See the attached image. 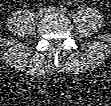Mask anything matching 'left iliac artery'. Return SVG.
Segmentation results:
<instances>
[{"mask_svg":"<svg viewBox=\"0 0 111 106\" xmlns=\"http://www.w3.org/2000/svg\"><path fill=\"white\" fill-rule=\"evenodd\" d=\"M61 11H62L63 13H67L68 8L65 7V6H61Z\"/></svg>","mask_w":111,"mask_h":106,"instance_id":"44dca946","label":"left iliac artery"}]
</instances>
